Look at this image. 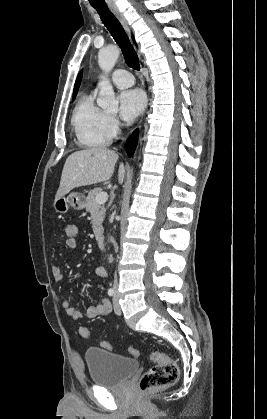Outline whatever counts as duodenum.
<instances>
[{
	"label": "duodenum",
	"mask_w": 267,
	"mask_h": 419,
	"mask_svg": "<svg viewBox=\"0 0 267 419\" xmlns=\"http://www.w3.org/2000/svg\"><path fill=\"white\" fill-rule=\"evenodd\" d=\"M97 244L99 247L104 248L106 245V238L104 235L97 236Z\"/></svg>",
	"instance_id": "410a0bca"
}]
</instances>
